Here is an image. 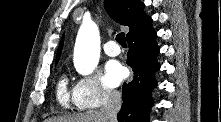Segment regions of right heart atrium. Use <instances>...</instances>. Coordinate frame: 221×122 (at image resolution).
I'll use <instances>...</instances> for the list:
<instances>
[{
  "label": "right heart atrium",
  "mask_w": 221,
  "mask_h": 122,
  "mask_svg": "<svg viewBox=\"0 0 221 122\" xmlns=\"http://www.w3.org/2000/svg\"><path fill=\"white\" fill-rule=\"evenodd\" d=\"M118 99V93L107 87L98 73L78 80L73 88V101L78 109H93Z\"/></svg>",
  "instance_id": "right-heart-atrium-1"
}]
</instances>
